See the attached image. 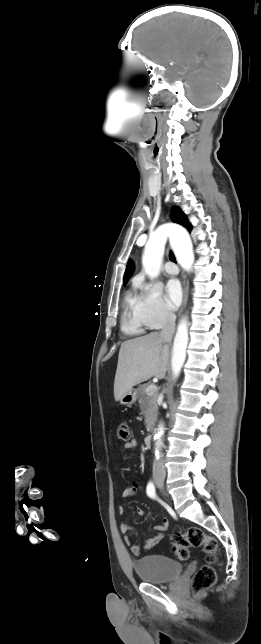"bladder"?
Instances as JSON below:
<instances>
[{"instance_id":"bladder-1","label":"bladder","mask_w":261,"mask_h":644,"mask_svg":"<svg viewBox=\"0 0 261 644\" xmlns=\"http://www.w3.org/2000/svg\"><path fill=\"white\" fill-rule=\"evenodd\" d=\"M137 577L143 582L160 584L177 578L183 570L180 562L162 555H147L133 562Z\"/></svg>"}]
</instances>
